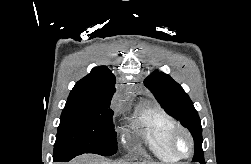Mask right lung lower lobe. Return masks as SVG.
I'll use <instances>...</instances> for the list:
<instances>
[{
  "instance_id": "98d812e1",
  "label": "right lung lower lobe",
  "mask_w": 251,
  "mask_h": 164,
  "mask_svg": "<svg viewBox=\"0 0 251 164\" xmlns=\"http://www.w3.org/2000/svg\"><path fill=\"white\" fill-rule=\"evenodd\" d=\"M75 156H76L75 154H61L58 156H53V161L54 162H68Z\"/></svg>"
}]
</instances>
